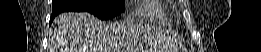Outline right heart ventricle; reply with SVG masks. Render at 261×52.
Returning a JSON list of instances; mask_svg holds the SVG:
<instances>
[{
	"label": "right heart ventricle",
	"instance_id": "right-heart-ventricle-1",
	"mask_svg": "<svg viewBox=\"0 0 261 52\" xmlns=\"http://www.w3.org/2000/svg\"><path fill=\"white\" fill-rule=\"evenodd\" d=\"M136 15L138 18L160 22L168 19L169 9L159 0H145L137 9Z\"/></svg>",
	"mask_w": 261,
	"mask_h": 52
}]
</instances>
